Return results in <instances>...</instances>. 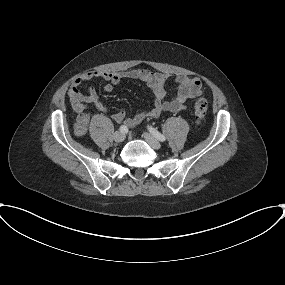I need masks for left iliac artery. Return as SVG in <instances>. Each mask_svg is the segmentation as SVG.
I'll return each instance as SVG.
<instances>
[{"label": "left iliac artery", "instance_id": "44dca946", "mask_svg": "<svg viewBox=\"0 0 285 285\" xmlns=\"http://www.w3.org/2000/svg\"><path fill=\"white\" fill-rule=\"evenodd\" d=\"M148 129L158 140L162 142L166 140L165 136L158 132L156 129L152 128L151 126H148Z\"/></svg>", "mask_w": 285, "mask_h": 285}]
</instances>
